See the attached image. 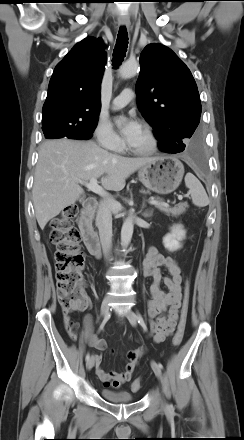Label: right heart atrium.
Segmentation results:
<instances>
[{
    "mask_svg": "<svg viewBox=\"0 0 244 440\" xmlns=\"http://www.w3.org/2000/svg\"><path fill=\"white\" fill-rule=\"evenodd\" d=\"M94 136L103 148L112 151H119L122 148L123 142L121 138L107 120L101 119L98 121L94 130Z\"/></svg>",
    "mask_w": 244,
    "mask_h": 440,
    "instance_id": "obj_1",
    "label": "right heart atrium"
}]
</instances>
